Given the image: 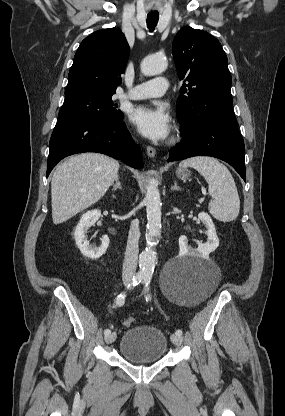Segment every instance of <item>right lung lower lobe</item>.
I'll use <instances>...</instances> for the list:
<instances>
[{
	"instance_id": "98d812e1",
	"label": "right lung lower lobe",
	"mask_w": 285,
	"mask_h": 416,
	"mask_svg": "<svg viewBox=\"0 0 285 416\" xmlns=\"http://www.w3.org/2000/svg\"><path fill=\"white\" fill-rule=\"evenodd\" d=\"M98 152L122 160L141 169L140 148L126 129L124 122L71 121L57 123L49 144L47 177L54 166L72 154Z\"/></svg>"
}]
</instances>
